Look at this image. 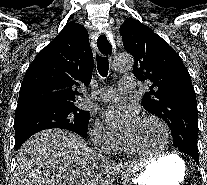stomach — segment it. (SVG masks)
<instances>
[{"mask_svg":"<svg viewBox=\"0 0 207 185\" xmlns=\"http://www.w3.org/2000/svg\"><path fill=\"white\" fill-rule=\"evenodd\" d=\"M185 163L176 154L151 162L137 178L138 185H179L184 180Z\"/></svg>","mask_w":207,"mask_h":185,"instance_id":"0dacf381","label":"stomach"}]
</instances>
